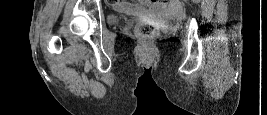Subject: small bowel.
<instances>
[{
  "label": "small bowel",
  "instance_id": "obj_1",
  "mask_svg": "<svg viewBox=\"0 0 267 115\" xmlns=\"http://www.w3.org/2000/svg\"><path fill=\"white\" fill-rule=\"evenodd\" d=\"M113 8L123 14L127 15H148L150 13L164 12L166 10L178 11L179 4L177 2H172L169 7L163 3H150V1H140V2H126V1H113Z\"/></svg>",
  "mask_w": 267,
  "mask_h": 115
}]
</instances>
